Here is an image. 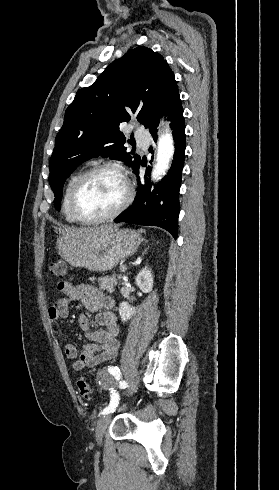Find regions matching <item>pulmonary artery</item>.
I'll use <instances>...</instances> for the list:
<instances>
[{
    "label": "pulmonary artery",
    "instance_id": "obj_1",
    "mask_svg": "<svg viewBox=\"0 0 279 490\" xmlns=\"http://www.w3.org/2000/svg\"><path fill=\"white\" fill-rule=\"evenodd\" d=\"M128 128L130 129V125H128ZM149 135V130L148 128H139L138 133L136 134V137L139 140H142L144 137H148Z\"/></svg>",
    "mask_w": 279,
    "mask_h": 490
}]
</instances>
